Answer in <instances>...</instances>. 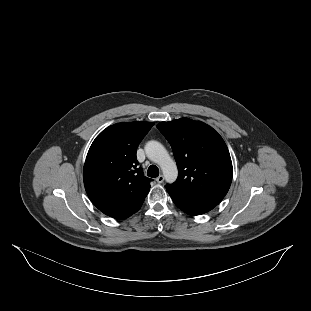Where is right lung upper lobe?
<instances>
[{
	"mask_svg": "<svg viewBox=\"0 0 311 311\" xmlns=\"http://www.w3.org/2000/svg\"><path fill=\"white\" fill-rule=\"evenodd\" d=\"M152 122H124L109 126L93 141L83 168L86 192L104 214L125 219L137 212L150 190L151 179L138 167L139 143Z\"/></svg>",
	"mask_w": 311,
	"mask_h": 311,
	"instance_id": "1",
	"label": "right lung upper lobe"
}]
</instances>
